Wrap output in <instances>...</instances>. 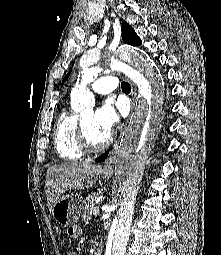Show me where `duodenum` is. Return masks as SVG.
<instances>
[{
    "mask_svg": "<svg viewBox=\"0 0 221 255\" xmlns=\"http://www.w3.org/2000/svg\"><path fill=\"white\" fill-rule=\"evenodd\" d=\"M94 255H102L101 249L99 247L96 248Z\"/></svg>",
    "mask_w": 221,
    "mask_h": 255,
    "instance_id": "1",
    "label": "duodenum"
}]
</instances>
